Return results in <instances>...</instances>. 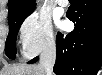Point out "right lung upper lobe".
I'll return each instance as SVG.
<instances>
[{
    "instance_id": "1",
    "label": "right lung upper lobe",
    "mask_w": 102,
    "mask_h": 75,
    "mask_svg": "<svg viewBox=\"0 0 102 75\" xmlns=\"http://www.w3.org/2000/svg\"><path fill=\"white\" fill-rule=\"evenodd\" d=\"M35 0H9L8 1V16L32 11L35 9Z\"/></svg>"
}]
</instances>
